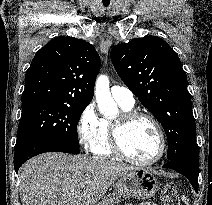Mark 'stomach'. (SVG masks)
<instances>
[{"instance_id": "stomach-1", "label": "stomach", "mask_w": 212, "mask_h": 205, "mask_svg": "<svg viewBox=\"0 0 212 205\" xmlns=\"http://www.w3.org/2000/svg\"><path fill=\"white\" fill-rule=\"evenodd\" d=\"M114 187L113 195L104 198L98 205H114L127 198L149 199L159 190V183L150 171L136 168L119 177Z\"/></svg>"}]
</instances>
